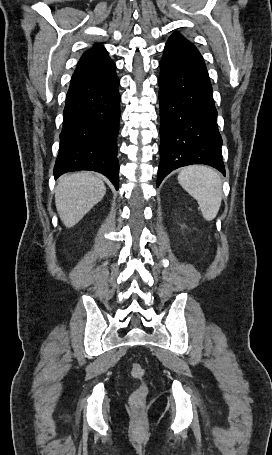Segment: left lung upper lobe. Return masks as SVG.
<instances>
[{"label":"left lung upper lobe","instance_id":"obj_1","mask_svg":"<svg viewBox=\"0 0 272 455\" xmlns=\"http://www.w3.org/2000/svg\"><path fill=\"white\" fill-rule=\"evenodd\" d=\"M162 59L170 61H179L187 59L203 60L197 48L179 32H175L168 39L164 48V54Z\"/></svg>","mask_w":272,"mask_h":455}]
</instances>
